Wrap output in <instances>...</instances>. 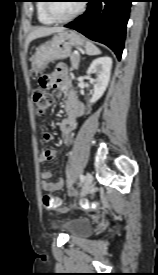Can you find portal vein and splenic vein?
I'll return each mask as SVG.
<instances>
[{
    "label": "portal vein and splenic vein",
    "instance_id": "obj_1",
    "mask_svg": "<svg viewBox=\"0 0 158 275\" xmlns=\"http://www.w3.org/2000/svg\"><path fill=\"white\" fill-rule=\"evenodd\" d=\"M74 54L79 55V52L78 51H74Z\"/></svg>",
    "mask_w": 158,
    "mask_h": 275
}]
</instances>
